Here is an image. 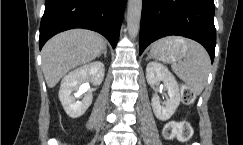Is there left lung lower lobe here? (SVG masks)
Returning <instances> with one entry per match:
<instances>
[{
	"mask_svg": "<svg viewBox=\"0 0 243 145\" xmlns=\"http://www.w3.org/2000/svg\"><path fill=\"white\" fill-rule=\"evenodd\" d=\"M214 11L213 0H143L140 54L161 37L179 35L202 44L213 62L216 46Z\"/></svg>",
	"mask_w": 243,
	"mask_h": 145,
	"instance_id": "left-lung-lower-lobe-1",
	"label": "left lung lower lobe"
}]
</instances>
